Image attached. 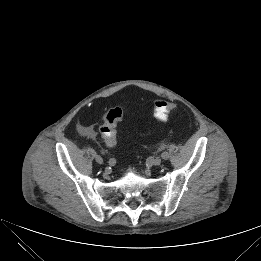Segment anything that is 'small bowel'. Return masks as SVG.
Wrapping results in <instances>:
<instances>
[{"instance_id": "obj_1", "label": "small bowel", "mask_w": 261, "mask_h": 261, "mask_svg": "<svg viewBox=\"0 0 261 261\" xmlns=\"http://www.w3.org/2000/svg\"><path fill=\"white\" fill-rule=\"evenodd\" d=\"M78 131L82 136L87 137V138L92 139V138H95V136H96L95 130L90 126L79 125Z\"/></svg>"}]
</instances>
